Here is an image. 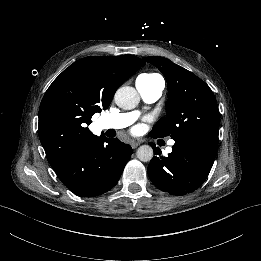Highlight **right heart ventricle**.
Returning a JSON list of instances; mask_svg holds the SVG:
<instances>
[{"instance_id": "obj_1", "label": "right heart ventricle", "mask_w": 261, "mask_h": 261, "mask_svg": "<svg viewBox=\"0 0 261 261\" xmlns=\"http://www.w3.org/2000/svg\"><path fill=\"white\" fill-rule=\"evenodd\" d=\"M137 79L141 80L145 85H153L158 82L164 83L162 76L154 72L143 73Z\"/></svg>"}]
</instances>
